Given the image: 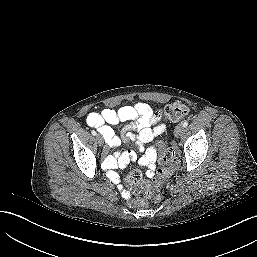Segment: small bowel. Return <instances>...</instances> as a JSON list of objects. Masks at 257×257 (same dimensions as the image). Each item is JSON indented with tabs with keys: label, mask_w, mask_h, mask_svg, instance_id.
<instances>
[{
	"label": "small bowel",
	"mask_w": 257,
	"mask_h": 257,
	"mask_svg": "<svg viewBox=\"0 0 257 257\" xmlns=\"http://www.w3.org/2000/svg\"><path fill=\"white\" fill-rule=\"evenodd\" d=\"M86 122L90 127L97 129L109 147H116L120 143L130 144L134 142L137 149L144 152L139 158L134 151H125L108 156L104 160L103 168L115 184H119L120 178L113 170L124 168L131 161L138 160L140 165L147 168L149 176L153 174L157 165V154L155 150H145V144L164 133L166 125L160 122L159 116L150 105L139 102L118 109L105 108L101 112L89 113ZM127 122L129 124L123 127L121 136H117L111 125ZM119 189L122 197L130 200L129 192L121 186H119Z\"/></svg>",
	"instance_id": "obj_1"
}]
</instances>
